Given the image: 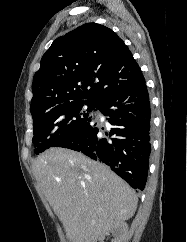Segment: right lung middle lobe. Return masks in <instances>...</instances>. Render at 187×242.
I'll return each instance as SVG.
<instances>
[{
    "label": "right lung middle lobe",
    "instance_id": "obj_1",
    "mask_svg": "<svg viewBox=\"0 0 187 242\" xmlns=\"http://www.w3.org/2000/svg\"><path fill=\"white\" fill-rule=\"evenodd\" d=\"M88 106V112L95 104L87 102H72L55 107L33 118V144L35 154L44 152L57 141L74 132L88 118L89 114L82 112L83 105Z\"/></svg>",
    "mask_w": 187,
    "mask_h": 242
}]
</instances>
